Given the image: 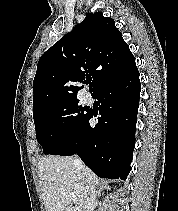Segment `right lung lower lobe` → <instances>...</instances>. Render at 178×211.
Here are the masks:
<instances>
[{"label": "right lung lower lobe", "instance_id": "right-lung-lower-lobe-1", "mask_svg": "<svg viewBox=\"0 0 178 211\" xmlns=\"http://www.w3.org/2000/svg\"><path fill=\"white\" fill-rule=\"evenodd\" d=\"M140 91L137 67L105 84L93 95L99 101L98 123L90 125L93 115L89 113L73 138L51 154L77 153L97 176L126 180L135 147Z\"/></svg>", "mask_w": 178, "mask_h": 211}]
</instances>
